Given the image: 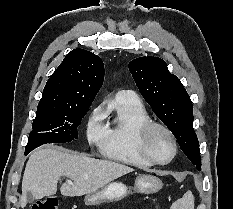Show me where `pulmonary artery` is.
Instances as JSON below:
<instances>
[{"label":"pulmonary artery","mask_w":233,"mask_h":209,"mask_svg":"<svg viewBox=\"0 0 233 209\" xmlns=\"http://www.w3.org/2000/svg\"><path fill=\"white\" fill-rule=\"evenodd\" d=\"M120 92H127V93H129V94L135 96V95H134L132 92H130V91H120ZM135 97H136V96H135Z\"/></svg>","instance_id":"e3ab8cb5"}]
</instances>
